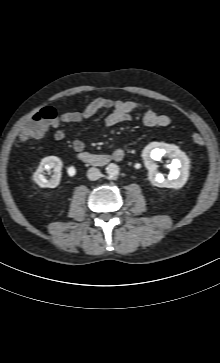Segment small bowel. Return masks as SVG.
Segmentation results:
<instances>
[{
	"label": "small bowel",
	"instance_id": "obj_1",
	"mask_svg": "<svg viewBox=\"0 0 220 363\" xmlns=\"http://www.w3.org/2000/svg\"><path fill=\"white\" fill-rule=\"evenodd\" d=\"M100 109H109L110 113L105 117L102 126L104 128L113 127L120 123L128 121L131 116L141 111L142 124L146 127H167L171 124V118L168 115L160 114L140 103L132 100H111L96 99L85 105L82 111H64L61 113L51 127L54 131V138L58 141L65 138V133L59 127L61 123H80L91 118ZM73 149L76 153L84 150V143L80 139L72 141Z\"/></svg>",
	"mask_w": 220,
	"mask_h": 363
}]
</instances>
